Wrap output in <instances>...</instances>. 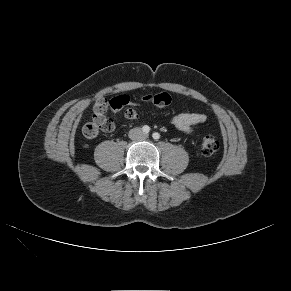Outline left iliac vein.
Listing matches in <instances>:
<instances>
[{"label": "left iliac vein", "instance_id": "left-iliac-vein-1", "mask_svg": "<svg viewBox=\"0 0 291 291\" xmlns=\"http://www.w3.org/2000/svg\"><path fill=\"white\" fill-rule=\"evenodd\" d=\"M147 137H148V135H147V134H144V135H143V138H147Z\"/></svg>", "mask_w": 291, "mask_h": 291}]
</instances>
